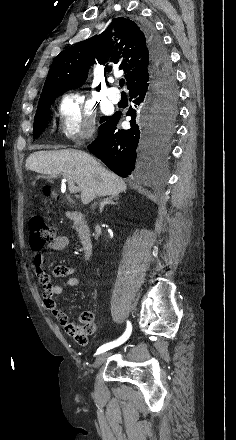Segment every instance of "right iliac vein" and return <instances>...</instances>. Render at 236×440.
I'll return each mask as SVG.
<instances>
[{
	"label": "right iliac vein",
	"instance_id": "obj_1",
	"mask_svg": "<svg viewBox=\"0 0 236 440\" xmlns=\"http://www.w3.org/2000/svg\"><path fill=\"white\" fill-rule=\"evenodd\" d=\"M108 356H109V353L100 354L94 362V368H99L106 361Z\"/></svg>",
	"mask_w": 236,
	"mask_h": 440
}]
</instances>
